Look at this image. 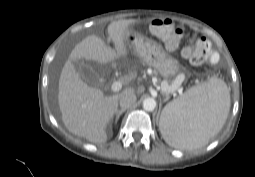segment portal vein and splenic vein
Instances as JSON below:
<instances>
[{
  "label": "portal vein and splenic vein",
  "mask_w": 255,
  "mask_h": 177,
  "mask_svg": "<svg viewBox=\"0 0 255 177\" xmlns=\"http://www.w3.org/2000/svg\"><path fill=\"white\" fill-rule=\"evenodd\" d=\"M179 85H180V84L175 83L173 86H167V87L164 88V92H166V93H174L175 90L178 89ZM121 88H122V83H121L120 81H115V82H113V84L111 85V89H112V91H114V92L120 91ZM161 89H162V88H161Z\"/></svg>",
  "instance_id": "1"
}]
</instances>
